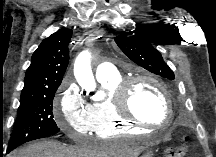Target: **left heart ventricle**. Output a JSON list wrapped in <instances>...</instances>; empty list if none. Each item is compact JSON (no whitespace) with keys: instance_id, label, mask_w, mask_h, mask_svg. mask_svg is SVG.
I'll list each match as a JSON object with an SVG mask.
<instances>
[{"instance_id":"b2bd125f","label":"left heart ventricle","mask_w":216,"mask_h":157,"mask_svg":"<svg viewBox=\"0 0 216 157\" xmlns=\"http://www.w3.org/2000/svg\"><path fill=\"white\" fill-rule=\"evenodd\" d=\"M131 109L140 119L161 124L166 119V107L160 90L149 82L138 83L132 91Z\"/></svg>"}]
</instances>
